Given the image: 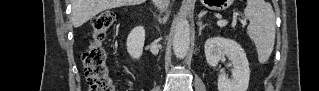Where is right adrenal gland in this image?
<instances>
[{
	"label": "right adrenal gland",
	"instance_id": "2a0ac1e0",
	"mask_svg": "<svg viewBox=\"0 0 319 91\" xmlns=\"http://www.w3.org/2000/svg\"><path fill=\"white\" fill-rule=\"evenodd\" d=\"M154 17L158 20L159 23H165L166 20L168 19V14L164 16L163 18H161L160 15H157L156 13H154Z\"/></svg>",
	"mask_w": 319,
	"mask_h": 91
}]
</instances>
